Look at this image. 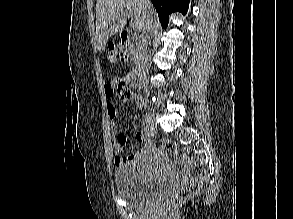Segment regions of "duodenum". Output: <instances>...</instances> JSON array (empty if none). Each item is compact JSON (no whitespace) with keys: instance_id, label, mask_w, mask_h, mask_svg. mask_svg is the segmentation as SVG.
Returning a JSON list of instances; mask_svg holds the SVG:
<instances>
[{"instance_id":"obj_1","label":"duodenum","mask_w":293,"mask_h":219,"mask_svg":"<svg viewBox=\"0 0 293 219\" xmlns=\"http://www.w3.org/2000/svg\"><path fill=\"white\" fill-rule=\"evenodd\" d=\"M122 42L128 46L132 52L136 55L135 67L128 74V84L135 88L140 89L144 84V59L142 55L143 45L139 36L129 29H124L121 32Z\"/></svg>"}]
</instances>
